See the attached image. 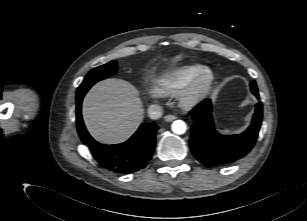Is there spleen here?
Wrapping results in <instances>:
<instances>
[{
  "label": "spleen",
  "instance_id": "obj_1",
  "mask_svg": "<svg viewBox=\"0 0 307 221\" xmlns=\"http://www.w3.org/2000/svg\"><path fill=\"white\" fill-rule=\"evenodd\" d=\"M231 130H232V128L225 129V130H222L221 133H229Z\"/></svg>",
  "mask_w": 307,
  "mask_h": 221
}]
</instances>
